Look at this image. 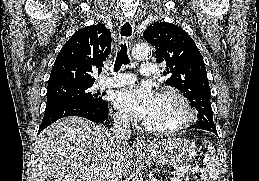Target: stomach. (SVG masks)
<instances>
[{"label": "stomach", "mask_w": 259, "mask_h": 181, "mask_svg": "<svg viewBox=\"0 0 259 181\" xmlns=\"http://www.w3.org/2000/svg\"><path fill=\"white\" fill-rule=\"evenodd\" d=\"M197 149L193 142L181 138H167L153 144L145 156L151 164L180 168L192 162Z\"/></svg>", "instance_id": "0dacf381"}]
</instances>
